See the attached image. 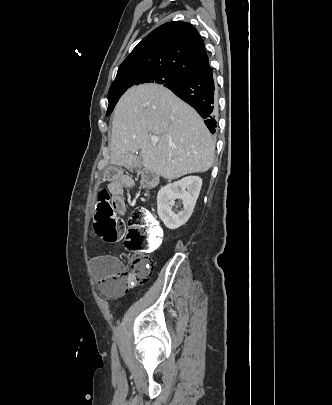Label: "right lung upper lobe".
I'll use <instances>...</instances> for the list:
<instances>
[{"mask_svg":"<svg viewBox=\"0 0 332 405\" xmlns=\"http://www.w3.org/2000/svg\"><path fill=\"white\" fill-rule=\"evenodd\" d=\"M209 65L205 44L187 22L165 23L145 37L120 65L117 76L156 71L187 76Z\"/></svg>","mask_w":332,"mask_h":405,"instance_id":"1","label":"right lung upper lobe"}]
</instances>
